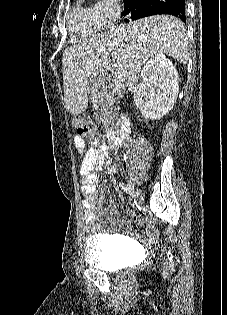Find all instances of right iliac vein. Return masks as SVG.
Returning <instances> with one entry per match:
<instances>
[{
  "instance_id": "obj_1",
  "label": "right iliac vein",
  "mask_w": 227,
  "mask_h": 315,
  "mask_svg": "<svg viewBox=\"0 0 227 315\" xmlns=\"http://www.w3.org/2000/svg\"><path fill=\"white\" fill-rule=\"evenodd\" d=\"M135 196H136L138 204H140L143 200V194H142L141 190L137 189Z\"/></svg>"
}]
</instances>
